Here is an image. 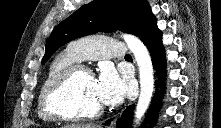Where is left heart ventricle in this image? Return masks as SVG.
<instances>
[{
  "label": "left heart ventricle",
  "instance_id": "left-heart-ventricle-1",
  "mask_svg": "<svg viewBox=\"0 0 221 128\" xmlns=\"http://www.w3.org/2000/svg\"><path fill=\"white\" fill-rule=\"evenodd\" d=\"M57 105L69 112H89L102 106L94 79L87 73L75 76L68 88L57 98Z\"/></svg>",
  "mask_w": 221,
  "mask_h": 128
}]
</instances>
